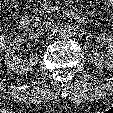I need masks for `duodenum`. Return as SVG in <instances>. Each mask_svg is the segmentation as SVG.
<instances>
[{
    "mask_svg": "<svg viewBox=\"0 0 113 113\" xmlns=\"http://www.w3.org/2000/svg\"><path fill=\"white\" fill-rule=\"evenodd\" d=\"M63 17L69 20H74L77 22L82 21L81 16L76 14L73 10L71 9H65L63 11ZM31 25V19L29 16H23L20 20L19 27L21 30H28Z\"/></svg>",
    "mask_w": 113,
    "mask_h": 113,
    "instance_id": "410a0bca",
    "label": "duodenum"
}]
</instances>
